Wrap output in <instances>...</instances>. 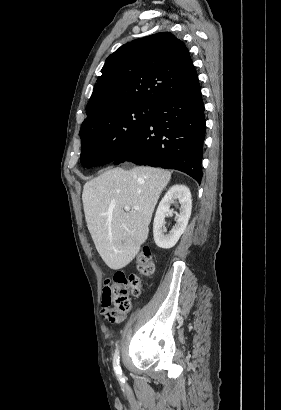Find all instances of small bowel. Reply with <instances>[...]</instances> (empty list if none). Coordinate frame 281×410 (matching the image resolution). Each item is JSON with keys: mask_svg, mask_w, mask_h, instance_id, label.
Masks as SVG:
<instances>
[{"mask_svg": "<svg viewBox=\"0 0 281 410\" xmlns=\"http://www.w3.org/2000/svg\"><path fill=\"white\" fill-rule=\"evenodd\" d=\"M109 279L105 280L104 287H103V293H102V314L105 316L109 313L111 310V303H110V295H109ZM123 316L120 317L122 319Z\"/></svg>", "mask_w": 281, "mask_h": 410, "instance_id": "1", "label": "small bowel"}]
</instances>
